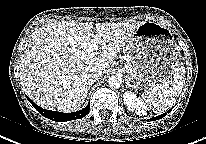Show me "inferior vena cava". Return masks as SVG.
Returning a JSON list of instances; mask_svg holds the SVG:
<instances>
[{
    "mask_svg": "<svg viewBox=\"0 0 206 144\" xmlns=\"http://www.w3.org/2000/svg\"><path fill=\"white\" fill-rule=\"evenodd\" d=\"M102 75V71L98 68H91L87 74L88 83H93L98 80Z\"/></svg>",
    "mask_w": 206,
    "mask_h": 144,
    "instance_id": "1",
    "label": "inferior vena cava"
}]
</instances>
